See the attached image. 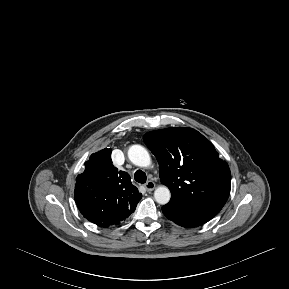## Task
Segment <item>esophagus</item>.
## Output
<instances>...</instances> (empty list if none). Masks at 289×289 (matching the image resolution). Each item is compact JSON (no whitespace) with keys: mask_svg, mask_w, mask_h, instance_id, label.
<instances>
[{"mask_svg":"<svg viewBox=\"0 0 289 289\" xmlns=\"http://www.w3.org/2000/svg\"><path fill=\"white\" fill-rule=\"evenodd\" d=\"M145 188L148 192L153 191L155 189V183L150 180L145 184Z\"/></svg>","mask_w":289,"mask_h":289,"instance_id":"obj_1","label":"esophagus"}]
</instances>
